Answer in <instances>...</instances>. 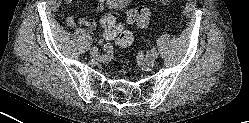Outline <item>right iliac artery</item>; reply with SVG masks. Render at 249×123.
<instances>
[{
	"instance_id": "82829eb1",
	"label": "right iliac artery",
	"mask_w": 249,
	"mask_h": 123,
	"mask_svg": "<svg viewBox=\"0 0 249 123\" xmlns=\"http://www.w3.org/2000/svg\"><path fill=\"white\" fill-rule=\"evenodd\" d=\"M104 50L105 51L111 50V46L109 45V43H107V44L104 45Z\"/></svg>"
}]
</instances>
